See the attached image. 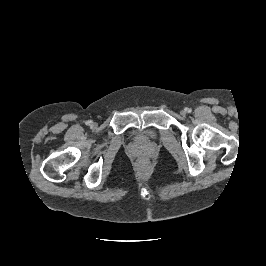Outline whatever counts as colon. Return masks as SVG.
Returning a JSON list of instances; mask_svg holds the SVG:
<instances>
[{"label": "colon", "mask_w": 266, "mask_h": 266, "mask_svg": "<svg viewBox=\"0 0 266 266\" xmlns=\"http://www.w3.org/2000/svg\"><path fill=\"white\" fill-rule=\"evenodd\" d=\"M138 167L141 170H147L149 168V162L146 159H141L138 162Z\"/></svg>", "instance_id": "1"}]
</instances>
